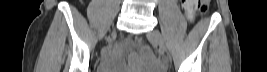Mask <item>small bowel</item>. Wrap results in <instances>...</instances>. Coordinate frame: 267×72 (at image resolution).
Listing matches in <instances>:
<instances>
[{
  "instance_id": "c3829d8e",
  "label": "small bowel",
  "mask_w": 267,
  "mask_h": 72,
  "mask_svg": "<svg viewBox=\"0 0 267 72\" xmlns=\"http://www.w3.org/2000/svg\"><path fill=\"white\" fill-rule=\"evenodd\" d=\"M182 7L186 12V15L189 20H192L194 18L197 4L195 0H184L182 1Z\"/></svg>"
}]
</instances>
